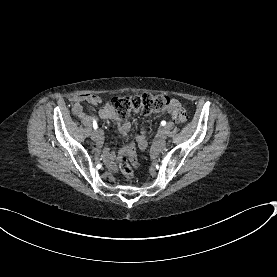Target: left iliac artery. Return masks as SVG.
I'll use <instances>...</instances> for the list:
<instances>
[{
	"label": "left iliac artery",
	"mask_w": 277,
	"mask_h": 277,
	"mask_svg": "<svg viewBox=\"0 0 277 277\" xmlns=\"http://www.w3.org/2000/svg\"><path fill=\"white\" fill-rule=\"evenodd\" d=\"M161 125H162V126H165V125H166V121H164V120L161 121Z\"/></svg>",
	"instance_id": "left-iliac-artery-1"
}]
</instances>
